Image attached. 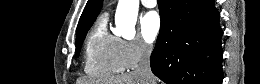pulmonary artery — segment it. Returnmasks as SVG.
Masks as SVG:
<instances>
[{
  "mask_svg": "<svg viewBox=\"0 0 260 84\" xmlns=\"http://www.w3.org/2000/svg\"><path fill=\"white\" fill-rule=\"evenodd\" d=\"M141 3L146 8H154L156 6V1L155 0H142Z\"/></svg>",
  "mask_w": 260,
  "mask_h": 84,
  "instance_id": "1",
  "label": "pulmonary artery"
}]
</instances>
